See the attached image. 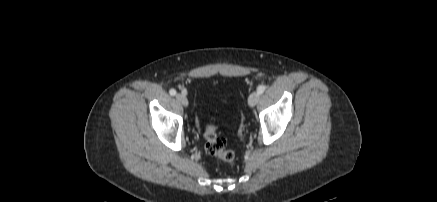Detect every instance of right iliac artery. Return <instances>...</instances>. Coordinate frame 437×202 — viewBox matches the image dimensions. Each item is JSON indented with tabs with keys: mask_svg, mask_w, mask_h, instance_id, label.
<instances>
[{
	"mask_svg": "<svg viewBox=\"0 0 437 202\" xmlns=\"http://www.w3.org/2000/svg\"><path fill=\"white\" fill-rule=\"evenodd\" d=\"M169 93H170V95L174 96V95H176V90L175 89H170Z\"/></svg>",
	"mask_w": 437,
	"mask_h": 202,
	"instance_id": "right-iliac-artery-1",
	"label": "right iliac artery"
}]
</instances>
